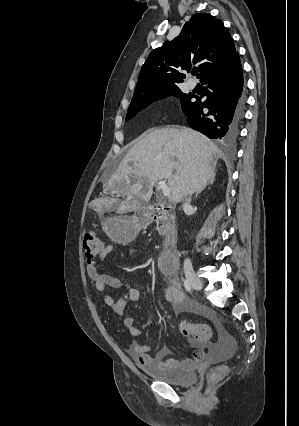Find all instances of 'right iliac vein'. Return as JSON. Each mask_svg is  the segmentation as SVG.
<instances>
[{"label":"right iliac vein","instance_id":"63e3f726","mask_svg":"<svg viewBox=\"0 0 299 426\" xmlns=\"http://www.w3.org/2000/svg\"><path fill=\"white\" fill-rule=\"evenodd\" d=\"M185 276L191 286L196 290H201L203 287V283L200 278L195 274L194 270L191 267L185 268Z\"/></svg>","mask_w":299,"mask_h":426}]
</instances>
